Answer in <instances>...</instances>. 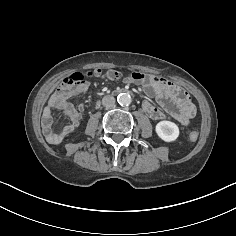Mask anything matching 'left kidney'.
I'll return each mask as SVG.
<instances>
[{
  "instance_id": "1",
  "label": "left kidney",
  "mask_w": 236,
  "mask_h": 236,
  "mask_svg": "<svg viewBox=\"0 0 236 236\" xmlns=\"http://www.w3.org/2000/svg\"><path fill=\"white\" fill-rule=\"evenodd\" d=\"M155 131L158 137L165 142H173L179 136L178 126L171 121H160L156 125Z\"/></svg>"
}]
</instances>
